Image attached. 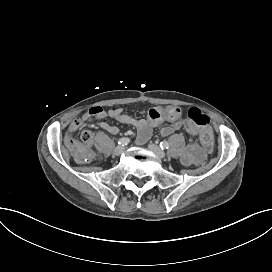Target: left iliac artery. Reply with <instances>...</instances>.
Here are the masks:
<instances>
[{
  "label": "left iliac artery",
  "instance_id": "obj_1",
  "mask_svg": "<svg viewBox=\"0 0 272 272\" xmlns=\"http://www.w3.org/2000/svg\"><path fill=\"white\" fill-rule=\"evenodd\" d=\"M161 149H168L169 148V143L167 141H162L160 143Z\"/></svg>",
  "mask_w": 272,
  "mask_h": 272
}]
</instances>
